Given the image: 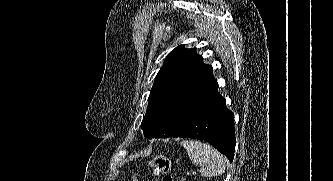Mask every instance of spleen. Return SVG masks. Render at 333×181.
Returning <instances> with one entry per match:
<instances>
[{"label": "spleen", "instance_id": "1", "mask_svg": "<svg viewBox=\"0 0 333 181\" xmlns=\"http://www.w3.org/2000/svg\"><path fill=\"white\" fill-rule=\"evenodd\" d=\"M181 145L186 149L192 163L200 166L201 176L214 177L225 172V157L208 144L194 140H183Z\"/></svg>", "mask_w": 333, "mask_h": 181}]
</instances>
